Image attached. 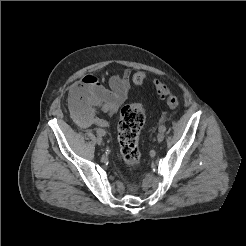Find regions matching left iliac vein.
Instances as JSON below:
<instances>
[{"label":"left iliac vein","mask_w":246,"mask_h":246,"mask_svg":"<svg viewBox=\"0 0 246 246\" xmlns=\"http://www.w3.org/2000/svg\"><path fill=\"white\" fill-rule=\"evenodd\" d=\"M164 139V133L163 132H159L157 135V141L160 143L162 142Z\"/></svg>","instance_id":"left-iliac-vein-1"}]
</instances>
